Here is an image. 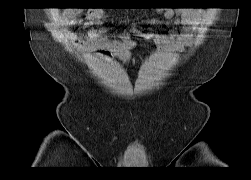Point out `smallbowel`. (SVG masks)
Segmentation results:
<instances>
[{
    "label": "small bowel",
    "instance_id": "c3829d8e",
    "mask_svg": "<svg viewBox=\"0 0 251 180\" xmlns=\"http://www.w3.org/2000/svg\"><path fill=\"white\" fill-rule=\"evenodd\" d=\"M105 15L103 9L87 11L83 16L76 10H65L62 13L63 25H74L79 21L87 25H99ZM166 23L180 25V31L169 33H146L143 36L166 50H180L189 46L194 38V32L202 22V13L193 9L165 10L163 12ZM104 31L92 29L87 34V43L104 53L112 52L123 60H127L135 42L130 35L124 34L119 40H110L104 36ZM66 38L76 40L77 35L72 31H65Z\"/></svg>",
    "mask_w": 251,
    "mask_h": 180
}]
</instances>
